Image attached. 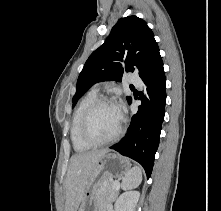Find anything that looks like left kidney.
Instances as JSON below:
<instances>
[{
    "label": "left kidney",
    "mask_w": 221,
    "mask_h": 211,
    "mask_svg": "<svg viewBox=\"0 0 221 211\" xmlns=\"http://www.w3.org/2000/svg\"><path fill=\"white\" fill-rule=\"evenodd\" d=\"M138 191H128L121 194L115 202V211H134L139 200Z\"/></svg>",
    "instance_id": "left-kidney-1"
}]
</instances>
